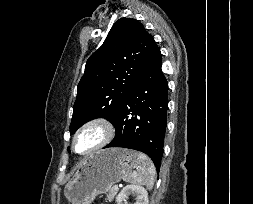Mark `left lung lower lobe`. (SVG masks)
<instances>
[{
    "mask_svg": "<svg viewBox=\"0 0 253 204\" xmlns=\"http://www.w3.org/2000/svg\"><path fill=\"white\" fill-rule=\"evenodd\" d=\"M161 66V52L157 46L113 123L114 139L105 146L146 153L157 171L164 151L168 107V83Z\"/></svg>",
    "mask_w": 253,
    "mask_h": 204,
    "instance_id": "obj_1",
    "label": "left lung lower lobe"
}]
</instances>
